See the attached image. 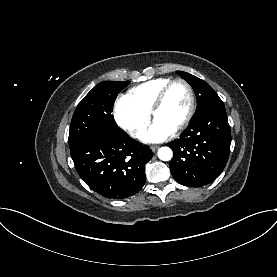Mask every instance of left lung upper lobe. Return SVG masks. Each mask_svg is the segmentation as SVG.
Listing matches in <instances>:
<instances>
[{
    "label": "left lung upper lobe",
    "instance_id": "left-lung-upper-lobe-1",
    "mask_svg": "<svg viewBox=\"0 0 277 277\" xmlns=\"http://www.w3.org/2000/svg\"><path fill=\"white\" fill-rule=\"evenodd\" d=\"M193 88L197 98L196 115L214 103L221 102L217 93L203 80L183 71H177ZM195 115V116H196Z\"/></svg>",
    "mask_w": 277,
    "mask_h": 277
}]
</instances>
